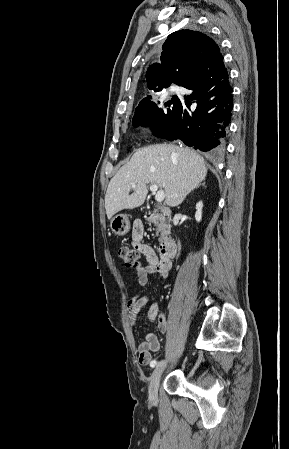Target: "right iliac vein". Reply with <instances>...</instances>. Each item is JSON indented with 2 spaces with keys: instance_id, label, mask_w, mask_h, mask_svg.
I'll return each instance as SVG.
<instances>
[{
  "instance_id": "obj_1",
  "label": "right iliac vein",
  "mask_w": 289,
  "mask_h": 449,
  "mask_svg": "<svg viewBox=\"0 0 289 449\" xmlns=\"http://www.w3.org/2000/svg\"><path fill=\"white\" fill-rule=\"evenodd\" d=\"M166 366H167L166 362H161L156 366V368L152 372L149 384V397L151 400L157 399L159 381Z\"/></svg>"
}]
</instances>
